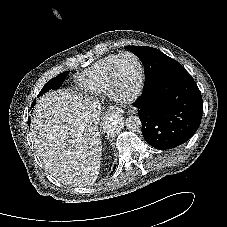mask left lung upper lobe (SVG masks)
Here are the masks:
<instances>
[{
  "label": "left lung upper lobe",
  "mask_w": 227,
  "mask_h": 227,
  "mask_svg": "<svg viewBox=\"0 0 227 227\" xmlns=\"http://www.w3.org/2000/svg\"><path fill=\"white\" fill-rule=\"evenodd\" d=\"M125 48L138 56L144 65L146 70L145 87L169 74L185 70L179 62L155 48L145 46H126Z\"/></svg>",
  "instance_id": "5c2ea615"
}]
</instances>
